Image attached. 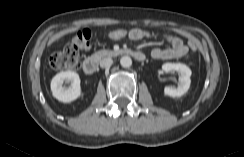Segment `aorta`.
Wrapping results in <instances>:
<instances>
[{
  "instance_id": "1",
  "label": "aorta",
  "mask_w": 244,
  "mask_h": 157,
  "mask_svg": "<svg viewBox=\"0 0 244 157\" xmlns=\"http://www.w3.org/2000/svg\"><path fill=\"white\" fill-rule=\"evenodd\" d=\"M120 64L124 68H128L132 65V59L129 56H123L120 59Z\"/></svg>"
}]
</instances>
